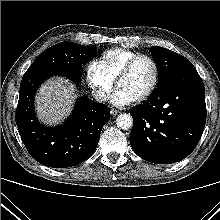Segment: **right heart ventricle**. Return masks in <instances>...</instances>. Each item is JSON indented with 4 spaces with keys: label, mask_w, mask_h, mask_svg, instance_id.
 <instances>
[{
    "label": "right heart ventricle",
    "mask_w": 220,
    "mask_h": 220,
    "mask_svg": "<svg viewBox=\"0 0 220 220\" xmlns=\"http://www.w3.org/2000/svg\"><path fill=\"white\" fill-rule=\"evenodd\" d=\"M137 54L139 53L129 49L112 48L102 54L101 62L109 75L115 79L122 67Z\"/></svg>",
    "instance_id": "obj_1"
}]
</instances>
